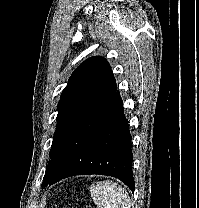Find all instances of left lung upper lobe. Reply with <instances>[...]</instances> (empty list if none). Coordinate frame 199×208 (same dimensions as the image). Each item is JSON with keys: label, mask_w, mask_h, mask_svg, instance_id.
Listing matches in <instances>:
<instances>
[{"label": "left lung upper lobe", "mask_w": 199, "mask_h": 208, "mask_svg": "<svg viewBox=\"0 0 199 208\" xmlns=\"http://www.w3.org/2000/svg\"><path fill=\"white\" fill-rule=\"evenodd\" d=\"M116 91L115 78L106 59L85 60L71 75L58 103L57 128L43 185L49 180L63 145L79 125Z\"/></svg>", "instance_id": "5c2ea615"}]
</instances>
